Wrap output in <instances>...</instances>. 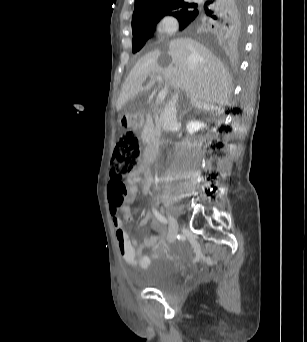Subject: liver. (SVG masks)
I'll return each mask as SVG.
<instances>
[{"label": "liver", "instance_id": "1", "mask_svg": "<svg viewBox=\"0 0 307 342\" xmlns=\"http://www.w3.org/2000/svg\"><path fill=\"white\" fill-rule=\"evenodd\" d=\"M162 74L175 90H183L192 106L215 110V104L228 106L233 90L229 72L205 46L191 38H177L170 44H157L138 60L128 74L116 104L117 112L140 92H148L156 80L143 86L148 76Z\"/></svg>", "mask_w": 307, "mask_h": 342}]
</instances>
